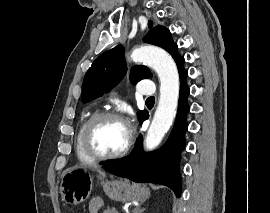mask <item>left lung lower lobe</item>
Segmentation results:
<instances>
[{"instance_id":"1","label":"left lung lower lobe","mask_w":270,"mask_h":213,"mask_svg":"<svg viewBox=\"0 0 270 213\" xmlns=\"http://www.w3.org/2000/svg\"><path fill=\"white\" fill-rule=\"evenodd\" d=\"M188 72L182 70L180 77V96L175 125L165 145L156 152L144 153L142 136L137 140L135 150L127 157L104 164L103 168L119 177L135 182L160 183L170 187L180 197L179 150L185 145L184 134L188 124L186 115L190 107L187 103L189 88L186 84ZM147 114L140 122L148 119Z\"/></svg>"}]
</instances>
